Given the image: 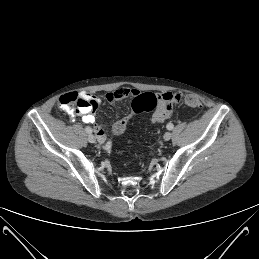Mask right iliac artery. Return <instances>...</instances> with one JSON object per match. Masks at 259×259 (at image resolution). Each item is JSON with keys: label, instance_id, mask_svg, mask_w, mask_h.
Masks as SVG:
<instances>
[{"label": "right iliac artery", "instance_id": "obj_1", "mask_svg": "<svg viewBox=\"0 0 259 259\" xmlns=\"http://www.w3.org/2000/svg\"><path fill=\"white\" fill-rule=\"evenodd\" d=\"M85 131H86L88 134L92 133V129H91L89 126H87V127L85 128Z\"/></svg>", "mask_w": 259, "mask_h": 259}]
</instances>
